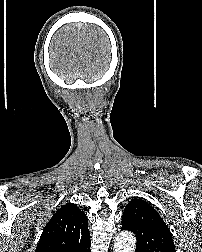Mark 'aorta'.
I'll return each mask as SVG.
<instances>
[{"instance_id": "762f6f07", "label": "aorta", "mask_w": 202, "mask_h": 252, "mask_svg": "<svg viewBox=\"0 0 202 252\" xmlns=\"http://www.w3.org/2000/svg\"><path fill=\"white\" fill-rule=\"evenodd\" d=\"M136 246V238L129 231H122L114 240L115 252H134Z\"/></svg>"}]
</instances>
